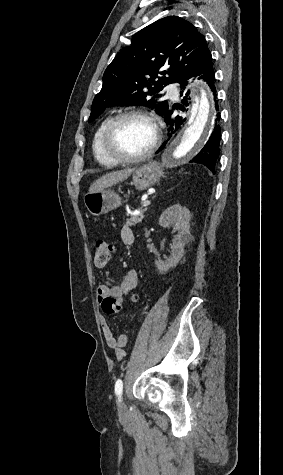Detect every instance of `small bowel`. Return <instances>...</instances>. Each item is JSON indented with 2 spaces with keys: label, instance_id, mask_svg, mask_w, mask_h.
I'll return each instance as SVG.
<instances>
[{
  "label": "small bowel",
  "instance_id": "small-bowel-1",
  "mask_svg": "<svg viewBox=\"0 0 283 475\" xmlns=\"http://www.w3.org/2000/svg\"><path fill=\"white\" fill-rule=\"evenodd\" d=\"M120 236L122 242L127 245L131 246L135 242V235L132 229L128 226H124L120 231ZM124 279H131L133 282L132 289L134 290L138 283V275L136 271L130 270L124 276ZM118 285H108V284H99L95 289V298L97 303L102 307V297L103 293H120L121 287H123L122 282ZM133 298H135L133 296ZM103 309V307H102ZM117 312V311H116ZM142 316L140 317V319ZM100 326L102 329L103 336L106 340L107 345L114 351L115 357L118 360H122L126 356V347L128 345L129 339L128 336L125 334H120L118 336H114L111 327L109 326L108 322L103 318L100 321Z\"/></svg>",
  "mask_w": 283,
  "mask_h": 475
}]
</instances>
